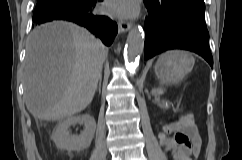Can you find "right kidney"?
<instances>
[{"mask_svg": "<svg viewBox=\"0 0 242 160\" xmlns=\"http://www.w3.org/2000/svg\"><path fill=\"white\" fill-rule=\"evenodd\" d=\"M76 124H83L84 131L80 135H70L69 127ZM95 130L94 117L89 114L77 115L60 122L52 134V139L59 149L82 151L90 146Z\"/></svg>", "mask_w": 242, "mask_h": 160, "instance_id": "right-kidney-1", "label": "right kidney"}]
</instances>
